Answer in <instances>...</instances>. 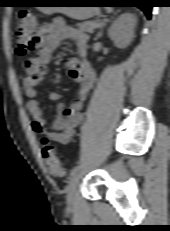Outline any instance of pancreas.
<instances>
[{
  "mask_svg": "<svg viewBox=\"0 0 170 231\" xmlns=\"http://www.w3.org/2000/svg\"><path fill=\"white\" fill-rule=\"evenodd\" d=\"M80 31L93 33L95 29L101 26L99 21H86L77 24Z\"/></svg>",
  "mask_w": 170,
  "mask_h": 231,
  "instance_id": "obj_1",
  "label": "pancreas"
}]
</instances>
